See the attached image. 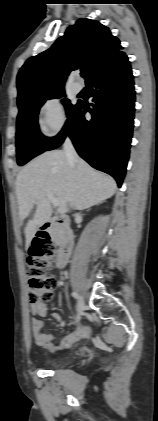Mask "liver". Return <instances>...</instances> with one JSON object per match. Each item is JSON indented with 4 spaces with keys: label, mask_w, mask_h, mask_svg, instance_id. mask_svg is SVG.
I'll return each instance as SVG.
<instances>
[{
    "label": "liver",
    "mask_w": 158,
    "mask_h": 421,
    "mask_svg": "<svg viewBox=\"0 0 158 421\" xmlns=\"http://www.w3.org/2000/svg\"><path fill=\"white\" fill-rule=\"evenodd\" d=\"M117 188L115 180L93 169L84 160L77 165L68 163L62 150L47 151L31 160L17 175L16 195L21 224L29 217L34 205L35 214L25 227L27 246L38 228L52 214L46 193H52L59 201L58 212L65 214L68 205L78 210L102 203L113 196Z\"/></svg>",
    "instance_id": "6515ba94"
}]
</instances>
